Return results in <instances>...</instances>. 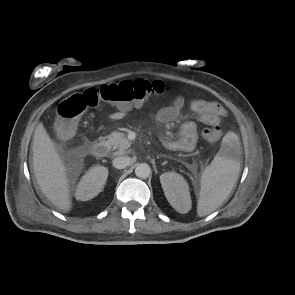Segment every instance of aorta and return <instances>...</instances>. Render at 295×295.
<instances>
[{
	"mask_svg": "<svg viewBox=\"0 0 295 295\" xmlns=\"http://www.w3.org/2000/svg\"><path fill=\"white\" fill-rule=\"evenodd\" d=\"M135 174L139 178L146 179L151 174V168L146 163L138 164L135 168Z\"/></svg>",
	"mask_w": 295,
	"mask_h": 295,
	"instance_id": "aorta-1",
	"label": "aorta"
}]
</instances>
